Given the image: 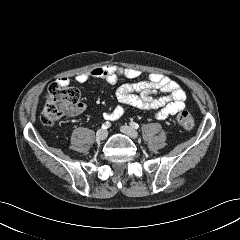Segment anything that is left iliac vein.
I'll return each mask as SVG.
<instances>
[{
  "instance_id": "obj_1",
  "label": "left iliac vein",
  "mask_w": 240,
  "mask_h": 240,
  "mask_svg": "<svg viewBox=\"0 0 240 240\" xmlns=\"http://www.w3.org/2000/svg\"><path fill=\"white\" fill-rule=\"evenodd\" d=\"M121 131L132 139H136L138 137V132L127 125L121 126Z\"/></svg>"
}]
</instances>
